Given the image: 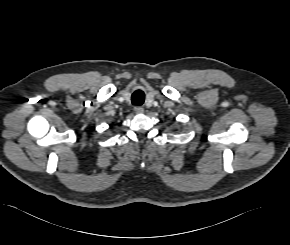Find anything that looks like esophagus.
<instances>
[{"label":"esophagus","mask_w":290,"mask_h":245,"mask_svg":"<svg viewBox=\"0 0 290 245\" xmlns=\"http://www.w3.org/2000/svg\"><path fill=\"white\" fill-rule=\"evenodd\" d=\"M134 112L136 114H141V113L144 112V109L142 107H140V106H136V107H134Z\"/></svg>","instance_id":"1"}]
</instances>
